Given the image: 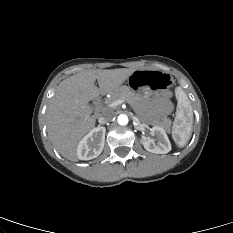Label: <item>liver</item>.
Here are the masks:
<instances>
[{"mask_svg": "<svg viewBox=\"0 0 233 233\" xmlns=\"http://www.w3.org/2000/svg\"><path fill=\"white\" fill-rule=\"evenodd\" d=\"M134 69L85 70L64 79L56 88L47 109V129L55 149L76 162L81 138L95 126L89 101L100 94H113L130 77ZM97 80L99 88L95 86Z\"/></svg>", "mask_w": 233, "mask_h": 233, "instance_id": "liver-1", "label": "liver"}]
</instances>
